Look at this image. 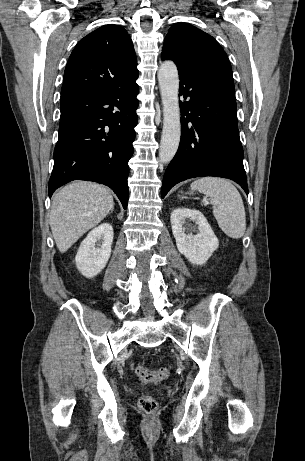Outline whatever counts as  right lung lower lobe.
<instances>
[{"instance_id": "1", "label": "right lung lower lobe", "mask_w": 305, "mask_h": 461, "mask_svg": "<svg viewBox=\"0 0 305 461\" xmlns=\"http://www.w3.org/2000/svg\"><path fill=\"white\" fill-rule=\"evenodd\" d=\"M135 81L106 93L61 101L50 197L67 182L88 180L109 186L126 209L128 161L138 121Z\"/></svg>"}]
</instances>
